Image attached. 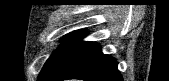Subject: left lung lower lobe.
<instances>
[{"label": "left lung lower lobe", "mask_w": 169, "mask_h": 81, "mask_svg": "<svg viewBox=\"0 0 169 81\" xmlns=\"http://www.w3.org/2000/svg\"><path fill=\"white\" fill-rule=\"evenodd\" d=\"M79 32L67 45L58 61L38 81L82 79L86 81H122L114 58L101 52L95 42H83Z\"/></svg>", "instance_id": "1"}]
</instances>
